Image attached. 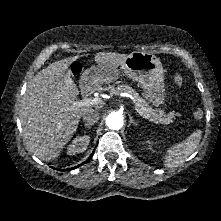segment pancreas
I'll return each instance as SVG.
<instances>
[{"label":"pancreas","instance_id":"cf45deb5","mask_svg":"<svg viewBox=\"0 0 221 221\" xmlns=\"http://www.w3.org/2000/svg\"><path fill=\"white\" fill-rule=\"evenodd\" d=\"M129 93L134 97V100L136 102V107L138 110L143 112L146 116L150 117L154 121L160 123V124H170L173 123V120L175 119V113L169 112L166 114L163 110L160 109H153L149 104L142 99L139 94L129 85H118L117 87H113L110 91L113 95H119L121 93Z\"/></svg>","mask_w":221,"mask_h":221}]
</instances>
